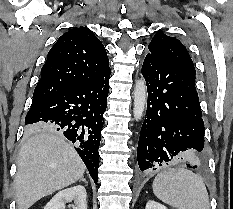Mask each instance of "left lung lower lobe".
Returning a JSON list of instances; mask_svg holds the SVG:
<instances>
[{
  "mask_svg": "<svg viewBox=\"0 0 233 209\" xmlns=\"http://www.w3.org/2000/svg\"><path fill=\"white\" fill-rule=\"evenodd\" d=\"M142 74L148 90L137 149L141 171L171 162L196 168L204 147V122L195 73L147 54Z\"/></svg>",
  "mask_w": 233,
  "mask_h": 209,
  "instance_id": "1",
  "label": "left lung lower lobe"
}]
</instances>
